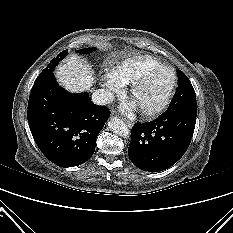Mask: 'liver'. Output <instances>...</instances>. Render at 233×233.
Masks as SVG:
<instances>
[{"instance_id":"liver-1","label":"liver","mask_w":233,"mask_h":233,"mask_svg":"<svg viewBox=\"0 0 233 233\" xmlns=\"http://www.w3.org/2000/svg\"><path fill=\"white\" fill-rule=\"evenodd\" d=\"M55 76L60 85L70 92L87 91L94 83L89 66L75 55L57 68Z\"/></svg>"}]
</instances>
